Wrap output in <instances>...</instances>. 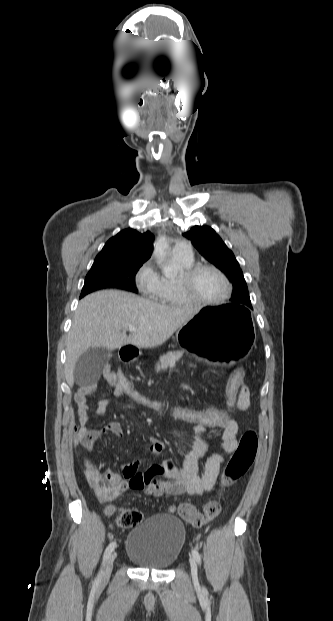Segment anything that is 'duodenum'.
<instances>
[{
  "mask_svg": "<svg viewBox=\"0 0 333 621\" xmlns=\"http://www.w3.org/2000/svg\"><path fill=\"white\" fill-rule=\"evenodd\" d=\"M121 359L125 362L133 361L137 356V351L130 347H124L120 352Z\"/></svg>",
  "mask_w": 333,
  "mask_h": 621,
  "instance_id": "1",
  "label": "duodenum"
}]
</instances>
